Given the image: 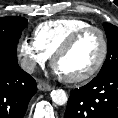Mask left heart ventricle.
<instances>
[{
	"label": "left heart ventricle",
	"instance_id": "1",
	"mask_svg": "<svg viewBox=\"0 0 118 118\" xmlns=\"http://www.w3.org/2000/svg\"><path fill=\"white\" fill-rule=\"evenodd\" d=\"M101 51L102 42L99 34L89 32L57 60L55 67L63 77L84 74L96 64Z\"/></svg>",
	"mask_w": 118,
	"mask_h": 118
}]
</instances>
